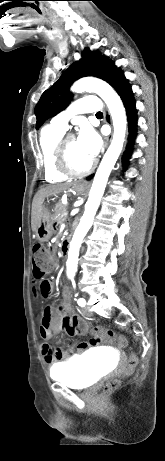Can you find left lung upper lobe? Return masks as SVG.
I'll return each mask as SVG.
<instances>
[{"mask_svg": "<svg viewBox=\"0 0 165 461\" xmlns=\"http://www.w3.org/2000/svg\"><path fill=\"white\" fill-rule=\"evenodd\" d=\"M121 72L108 58L85 48L82 58L72 64L60 76L58 81L42 94L35 107L36 128L40 127L46 119L56 115L68 106L72 98L69 88L75 80L84 76H94L112 85Z\"/></svg>", "mask_w": 165, "mask_h": 461, "instance_id": "left-lung-upper-lobe-1", "label": "left lung upper lobe"}]
</instances>
